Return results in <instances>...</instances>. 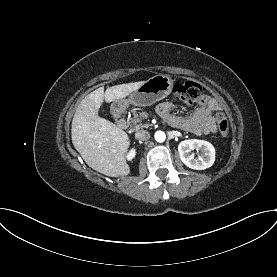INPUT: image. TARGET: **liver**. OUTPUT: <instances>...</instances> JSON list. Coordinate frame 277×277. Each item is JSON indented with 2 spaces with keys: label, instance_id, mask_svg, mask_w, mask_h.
<instances>
[{
  "label": "liver",
  "instance_id": "6515ba94",
  "mask_svg": "<svg viewBox=\"0 0 277 277\" xmlns=\"http://www.w3.org/2000/svg\"><path fill=\"white\" fill-rule=\"evenodd\" d=\"M144 82L115 85L105 92L104 87H100L78 105L72 120V143L86 164L95 171L109 177L130 173L125 157L130 146L128 135L112 122L99 117L98 112L104 100L112 102L125 98Z\"/></svg>",
  "mask_w": 277,
  "mask_h": 277
}]
</instances>
